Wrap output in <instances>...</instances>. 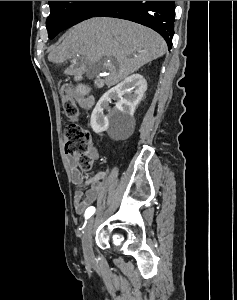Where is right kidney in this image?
Instances as JSON below:
<instances>
[{
    "mask_svg": "<svg viewBox=\"0 0 237 300\" xmlns=\"http://www.w3.org/2000/svg\"><path fill=\"white\" fill-rule=\"evenodd\" d=\"M146 89L147 81L142 75H131L104 93L92 111L90 125L94 133L107 131L109 119L107 115H104V109H109V103L112 99L116 101L115 111L117 115H133Z\"/></svg>",
    "mask_w": 237,
    "mask_h": 300,
    "instance_id": "obj_1",
    "label": "right kidney"
}]
</instances>
